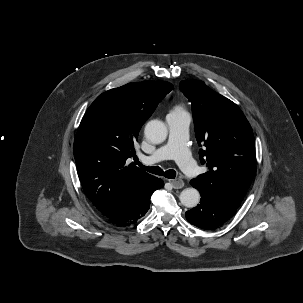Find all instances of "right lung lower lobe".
<instances>
[{"label":"right lung lower lobe","mask_w":303,"mask_h":303,"mask_svg":"<svg viewBox=\"0 0 303 303\" xmlns=\"http://www.w3.org/2000/svg\"><path fill=\"white\" fill-rule=\"evenodd\" d=\"M163 186L161 179L153 177L129 196L121 198L108 213L103 215L115 226L133 225L149 210L152 193Z\"/></svg>","instance_id":"98d812e1"}]
</instances>
